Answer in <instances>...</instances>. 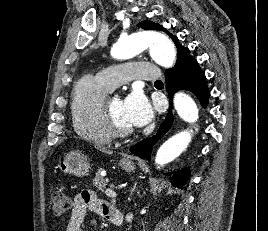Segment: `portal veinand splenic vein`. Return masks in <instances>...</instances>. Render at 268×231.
<instances>
[{"mask_svg":"<svg viewBox=\"0 0 268 231\" xmlns=\"http://www.w3.org/2000/svg\"><path fill=\"white\" fill-rule=\"evenodd\" d=\"M105 194L110 198H115L117 196L116 192L112 188L106 189Z\"/></svg>","mask_w":268,"mask_h":231,"instance_id":"18ae733b","label":"portal vein and splenic vein"}]
</instances>
